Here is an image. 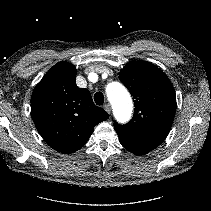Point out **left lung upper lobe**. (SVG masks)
<instances>
[{"label": "left lung upper lobe", "instance_id": "1", "mask_svg": "<svg viewBox=\"0 0 211 211\" xmlns=\"http://www.w3.org/2000/svg\"><path fill=\"white\" fill-rule=\"evenodd\" d=\"M119 78L133 96L135 106L129 123L114 122L119 139L133 145L158 147L168 136L176 111V95L170 80L147 61L127 64Z\"/></svg>", "mask_w": 211, "mask_h": 211}]
</instances>
